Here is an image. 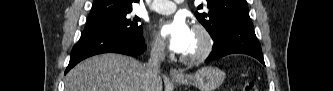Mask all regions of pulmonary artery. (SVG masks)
<instances>
[{
  "instance_id": "e3ab8cb5",
  "label": "pulmonary artery",
  "mask_w": 333,
  "mask_h": 91,
  "mask_svg": "<svg viewBox=\"0 0 333 91\" xmlns=\"http://www.w3.org/2000/svg\"><path fill=\"white\" fill-rule=\"evenodd\" d=\"M181 2V1H177ZM150 9L159 14H170L176 9V4L169 0H155Z\"/></svg>"
}]
</instances>
